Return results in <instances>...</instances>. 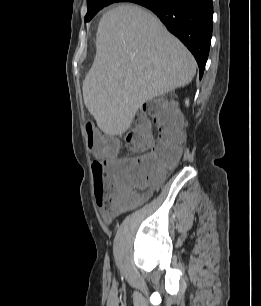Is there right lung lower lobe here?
<instances>
[{
  "instance_id": "98d812e1",
  "label": "right lung lower lobe",
  "mask_w": 261,
  "mask_h": 306,
  "mask_svg": "<svg viewBox=\"0 0 261 306\" xmlns=\"http://www.w3.org/2000/svg\"><path fill=\"white\" fill-rule=\"evenodd\" d=\"M153 11L194 55L203 75L212 36V0H133Z\"/></svg>"
}]
</instances>
